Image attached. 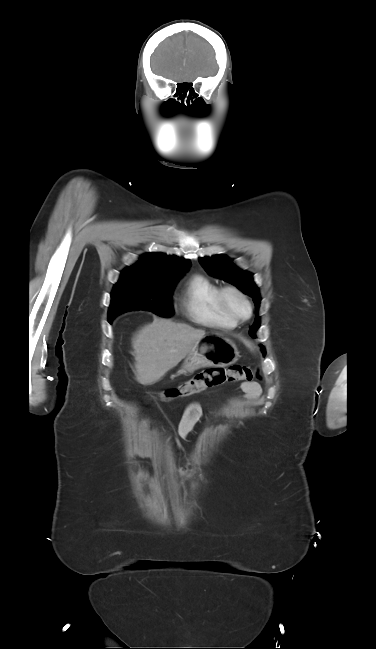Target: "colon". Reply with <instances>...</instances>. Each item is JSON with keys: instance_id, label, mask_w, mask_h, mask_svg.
<instances>
[{"instance_id": "colon-1", "label": "colon", "mask_w": 376, "mask_h": 649, "mask_svg": "<svg viewBox=\"0 0 376 649\" xmlns=\"http://www.w3.org/2000/svg\"><path fill=\"white\" fill-rule=\"evenodd\" d=\"M256 377H258L257 372L246 365L209 367L197 372L188 380L162 391L160 397L164 401L186 398L225 382H250Z\"/></svg>"}]
</instances>
